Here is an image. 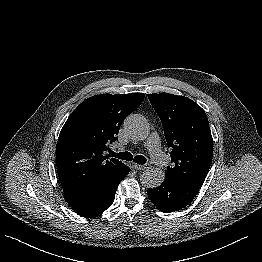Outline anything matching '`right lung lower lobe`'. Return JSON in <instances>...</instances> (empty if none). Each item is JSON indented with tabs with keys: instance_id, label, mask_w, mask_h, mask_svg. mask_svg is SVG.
I'll list each match as a JSON object with an SVG mask.
<instances>
[{
	"instance_id": "right-lung-lower-lobe-1",
	"label": "right lung lower lobe",
	"mask_w": 262,
	"mask_h": 262,
	"mask_svg": "<svg viewBox=\"0 0 262 262\" xmlns=\"http://www.w3.org/2000/svg\"><path fill=\"white\" fill-rule=\"evenodd\" d=\"M129 172L130 168L126 166L125 172L119 179L99 182L75 190L63 189L66 201L82 217L97 216L114 202L117 187Z\"/></svg>"
}]
</instances>
